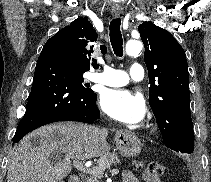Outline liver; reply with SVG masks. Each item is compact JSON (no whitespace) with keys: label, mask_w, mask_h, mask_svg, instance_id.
<instances>
[{"label":"liver","mask_w":211,"mask_h":182,"mask_svg":"<svg viewBox=\"0 0 211 182\" xmlns=\"http://www.w3.org/2000/svg\"><path fill=\"white\" fill-rule=\"evenodd\" d=\"M57 131L58 138L52 137ZM108 130L80 123L41 127L26 135L11 151L7 182H59L72 170V161H86L109 152ZM39 137L33 146L31 139ZM58 157L52 159L53 153Z\"/></svg>","instance_id":"1"}]
</instances>
